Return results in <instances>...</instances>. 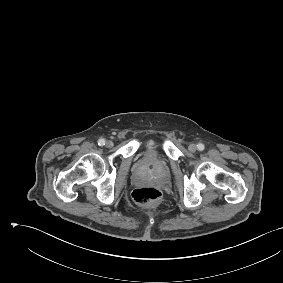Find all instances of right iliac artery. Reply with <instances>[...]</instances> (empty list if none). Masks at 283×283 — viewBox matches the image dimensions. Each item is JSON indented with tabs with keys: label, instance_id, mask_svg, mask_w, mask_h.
<instances>
[{
	"label": "right iliac artery",
	"instance_id": "right-iliac-artery-1",
	"mask_svg": "<svg viewBox=\"0 0 283 283\" xmlns=\"http://www.w3.org/2000/svg\"><path fill=\"white\" fill-rule=\"evenodd\" d=\"M98 145L103 146L105 145V140L103 138L98 140Z\"/></svg>",
	"mask_w": 283,
	"mask_h": 283
}]
</instances>
